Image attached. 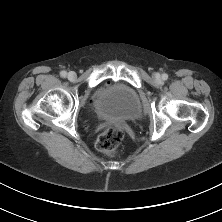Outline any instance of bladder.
I'll list each match as a JSON object with an SVG mask.
<instances>
[{"label": "bladder", "mask_w": 222, "mask_h": 222, "mask_svg": "<svg viewBox=\"0 0 222 222\" xmlns=\"http://www.w3.org/2000/svg\"><path fill=\"white\" fill-rule=\"evenodd\" d=\"M94 111L101 119L135 120L141 116V103L131 87L118 84L110 86L97 97Z\"/></svg>", "instance_id": "1"}]
</instances>
